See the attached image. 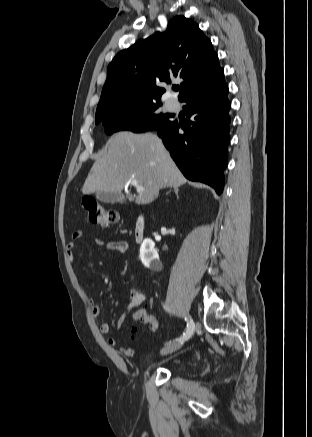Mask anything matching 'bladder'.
<instances>
[{
  "instance_id": "1",
  "label": "bladder",
  "mask_w": 312,
  "mask_h": 437,
  "mask_svg": "<svg viewBox=\"0 0 312 437\" xmlns=\"http://www.w3.org/2000/svg\"><path fill=\"white\" fill-rule=\"evenodd\" d=\"M174 366H175L176 371H182L186 365L183 362L179 361V362H176Z\"/></svg>"
}]
</instances>
